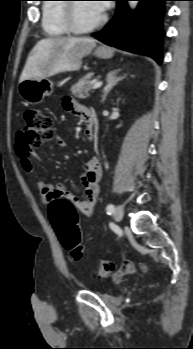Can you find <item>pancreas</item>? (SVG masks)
<instances>
[{
    "mask_svg": "<svg viewBox=\"0 0 193 349\" xmlns=\"http://www.w3.org/2000/svg\"><path fill=\"white\" fill-rule=\"evenodd\" d=\"M94 74L88 73L71 87L72 95L79 98H85L94 85Z\"/></svg>",
    "mask_w": 193,
    "mask_h": 349,
    "instance_id": "cf45deb5",
    "label": "pancreas"
}]
</instances>
